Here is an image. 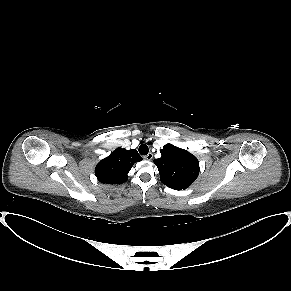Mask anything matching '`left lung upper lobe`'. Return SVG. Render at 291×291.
<instances>
[{
	"instance_id": "5c2ea615",
	"label": "left lung upper lobe",
	"mask_w": 291,
	"mask_h": 291,
	"mask_svg": "<svg viewBox=\"0 0 291 291\" xmlns=\"http://www.w3.org/2000/svg\"><path fill=\"white\" fill-rule=\"evenodd\" d=\"M161 158L155 159L160 180L166 186L181 190L189 187L199 175V162L188 151L172 144L164 145Z\"/></svg>"
}]
</instances>
